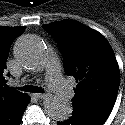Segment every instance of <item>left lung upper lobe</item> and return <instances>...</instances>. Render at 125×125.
I'll list each match as a JSON object with an SVG mask.
<instances>
[{
  "mask_svg": "<svg viewBox=\"0 0 125 125\" xmlns=\"http://www.w3.org/2000/svg\"><path fill=\"white\" fill-rule=\"evenodd\" d=\"M43 28L60 47L65 73L78 83L73 111L107 119L116 101L120 71L106 38L73 20L52 22Z\"/></svg>",
  "mask_w": 125,
  "mask_h": 125,
  "instance_id": "obj_1",
  "label": "left lung upper lobe"
}]
</instances>
